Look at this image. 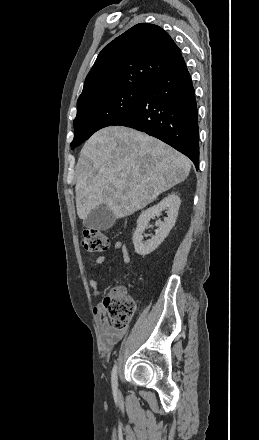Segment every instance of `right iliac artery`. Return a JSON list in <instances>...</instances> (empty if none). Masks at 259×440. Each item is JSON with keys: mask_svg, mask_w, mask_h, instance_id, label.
Returning <instances> with one entry per match:
<instances>
[{"mask_svg": "<svg viewBox=\"0 0 259 440\" xmlns=\"http://www.w3.org/2000/svg\"><path fill=\"white\" fill-rule=\"evenodd\" d=\"M111 382H112L113 391L116 392L117 391V387H118V382H117V365L116 364L114 365V367L112 369Z\"/></svg>", "mask_w": 259, "mask_h": 440, "instance_id": "1", "label": "right iliac artery"}]
</instances>
